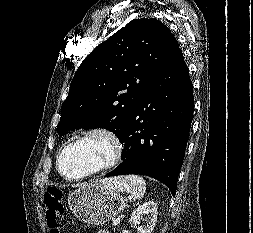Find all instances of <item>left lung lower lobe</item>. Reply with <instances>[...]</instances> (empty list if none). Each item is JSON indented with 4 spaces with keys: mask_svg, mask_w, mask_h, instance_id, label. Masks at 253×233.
<instances>
[{
    "mask_svg": "<svg viewBox=\"0 0 253 233\" xmlns=\"http://www.w3.org/2000/svg\"><path fill=\"white\" fill-rule=\"evenodd\" d=\"M194 109L189 70L179 48L172 55L161 80L144 96L131 114L120 142L122 161L117 176L153 177L175 195Z\"/></svg>",
    "mask_w": 253,
    "mask_h": 233,
    "instance_id": "left-lung-lower-lobe-1",
    "label": "left lung lower lobe"
}]
</instances>
